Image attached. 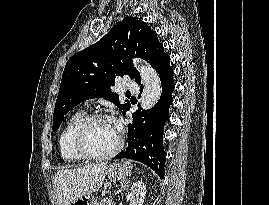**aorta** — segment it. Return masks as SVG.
Returning <instances> with one entry per match:
<instances>
[{
  "label": "aorta",
  "mask_w": 269,
  "mask_h": 205,
  "mask_svg": "<svg viewBox=\"0 0 269 205\" xmlns=\"http://www.w3.org/2000/svg\"><path fill=\"white\" fill-rule=\"evenodd\" d=\"M134 66L138 70L144 86L140 105L144 110L151 109L159 101L162 93L159 75L150 65L141 63L138 60H134Z\"/></svg>",
  "instance_id": "1"
}]
</instances>
